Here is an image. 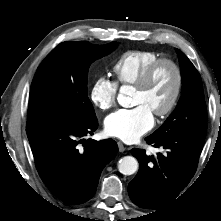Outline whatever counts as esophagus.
I'll return each mask as SVG.
<instances>
[{"label": "esophagus", "mask_w": 221, "mask_h": 221, "mask_svg": "<svg viewBox=\"0 0 221 221\" xmlns=\"http://www.w3.org/2000/svg\"><path fill=\"white\" fill-rule=\"evenodd\" d=\"M118 148L120 152H124L126 150V147L124 146V144L121 141H118Z\"/></svg>", "instance_id": "esophagus-1"}]
</instances>
